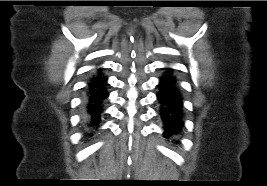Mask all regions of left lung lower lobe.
I'll use <instances>...</instances> for the list:
<instances>
[{
  "label": "left lung lower lobe",
  "mask_w": 267,
  "mask_h": 186,
  "mask_svg": "<svg viewBox=\"0 0 267 186\" xmlns=\"http://www.w3.org/2000/svg\"><path fill=\"white\" fill-rule=\"evenodd\" d=\"M158 87L159 115L164 123V135L170 138L179 134L183 127V100L178 83L170 71L160 78Z\"/></svg>",
  "instance_id": "obj_1"
}]
</instances>
